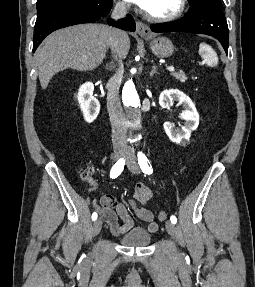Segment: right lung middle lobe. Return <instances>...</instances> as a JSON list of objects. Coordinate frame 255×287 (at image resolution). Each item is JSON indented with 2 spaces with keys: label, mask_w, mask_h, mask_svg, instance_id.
<instances>
[{
  "label": "right lung middle lobe",
  "mask_w": 255,
  "mask_h": 287,
  "mask_svg": "<svg viewBox=\"0 0 255 287\" xmlns=\"http://www.w3.org/2000/svg\"><path fill=\"white\" fill-rule=\"evenodd\" d=\"M112 0H38L37 18L68 9H88L103 15L112 7Z\"/></svg>",
  "instance_id": "right-lung-middle-lobe-1"
}]
</instances>
